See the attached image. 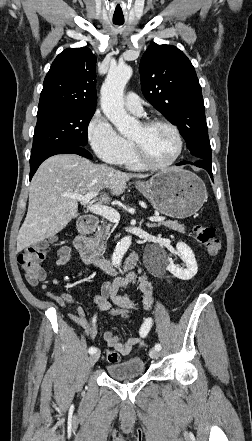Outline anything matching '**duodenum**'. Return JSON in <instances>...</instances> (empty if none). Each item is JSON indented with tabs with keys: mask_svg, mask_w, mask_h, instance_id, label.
Returning a JSON list of instances; mask_svg holds the SVG:
<instances>
[{
	"mask_svg": "<svg viewBox=\"0 0 252 441\" xmlns=\"http://www.w3.org/2000/svg\"><path fill=\"white\" fill-rule=\"evenodd\" d=\"M98 224L99 219L96 216L89 215L85 217L79 227V234L74 240V246L86 263L98 265L107 274L115 275L118 269L107 260L101 258L99 250L95 247L92 239L88 237V234L94 230ZM136 261V254H131L125 261L124 267L126 269H132Z\"/></svg>",
	"mask_w": 252,
	"mask_h": 441,
	"instance_id": "410a0bca",
	"label": "duodenum"
}]
</instances>
